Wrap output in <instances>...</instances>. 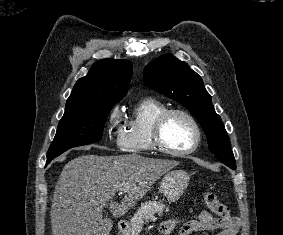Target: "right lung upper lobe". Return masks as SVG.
<instances>
[{
  "instance_id": "cb5924a9",
  "label": "right lung upper lobe",
  "mask_w": 283,
  "mask_h": 235,
  "mask_svg": "<svg viewBox=\"0 0 283 235\" xmlns=\"http://www.w3.org/2000/svg\"><path fill=\"white\" fill-rule=\"evenodd\" d=\"M133 65L127 60L103 59L74 85L67 103L120 101L127 93Z\"/></svg>"
}]
</instances>
